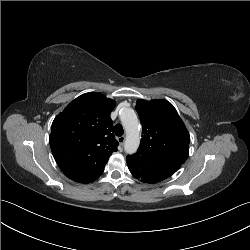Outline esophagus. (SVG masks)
<instances>
[{
	"instance_id": "esophagus-1",
	"label": "esophagus",
	"mask_w": 250,
	"mask_h": 250,
	"mask_svg": "<svg viewBox=\"0 0 250 250\" xmlns=\"http://www.w3.org/2000/svg\"><path fill=\"white\" fill-rule=\"evenodd\" d=\"M125 136H120V137H118V142L121 144V145H123L124 143H125Z\"/></svg>"
}]
</instances>
